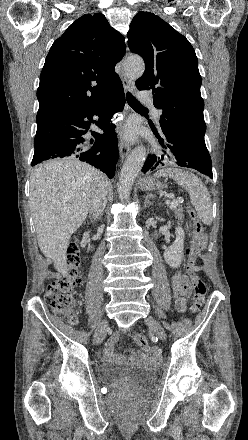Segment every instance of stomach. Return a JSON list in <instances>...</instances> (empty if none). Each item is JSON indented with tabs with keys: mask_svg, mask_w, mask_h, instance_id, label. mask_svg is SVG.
Segmentation results:
<instances>
[{
	"mask_svg": "<svg viewBox=\"0 0 248 440\" xmlns=\"http://www.w3.org/2000/svg\"><path fill=\"white\" fill-rule=\"evenodd\" d=\"M140 187L144 191H153L163 188V186L154 178L147 177L141 180Z\"/></svg>",
	"mask_w": 248,
	"mask_h": 440,
	"instance_id": "stomach-1",
	"label": "stomach"
}]
</instances>
